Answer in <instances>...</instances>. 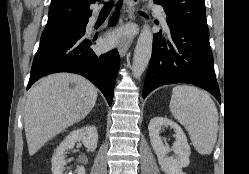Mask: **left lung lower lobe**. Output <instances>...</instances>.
<instances>
[{
    "label": "left lung lower lobe",
    "instance_id": "1",
    "mask_svg": "<svg viewBox=\"0 0 249 174\" xmlns=\"http://www.w3.org/2000/svg\"><path fill=\"white\" fill-rule=\"evenodd\" d=\"M166 21L171 41L161 33L154 34L143 98L157 87L180 82L207 90L221 103L208 27L178 21L168 14Z\"/></svg>",
    "mask_w": 249,
    "mask_h": 174
}]
</instances>
